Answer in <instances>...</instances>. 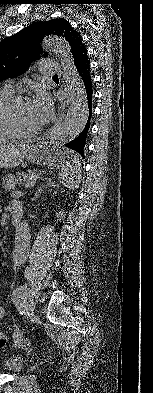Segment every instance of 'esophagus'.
<instances>
[{
	"instance_id": "esophagus-1",
	"label": "esophagus",
	"mask_w": 153,
	"mask_h": 393,
	"mask_svg": "<svg viewBox=\"0 0 153 393\" xmlns=\"http://www.w3.org/2000/svg\"><path fill=\"white\" fill-rule=\"evenodd\" d=\"M63 109H64V107H63ZM64 115H65V114H64V111H62V112L60 113V115H59V118H58L56 124H59V123L62 121Z\"/></svg>"
}]
</instances>
